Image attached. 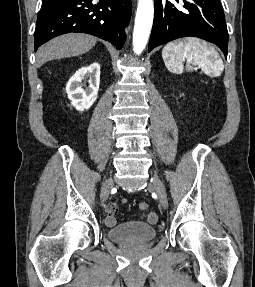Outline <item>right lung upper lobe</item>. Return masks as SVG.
<instances>
[{"mask_svg":"<svg viewBox=\"0 0 255 287\" xmlns=\"http://www.w3.org/2000/svg\"><path fill=\"white\" fill-rule=\"evenodd\" d=\"M45 1V3H49V2H51L52 0H44Z\"/></svg>","mask_w":255,"mask_h":287,"instance_id":"obj_1","label":"right lung upper lobe"}]
</instances>
